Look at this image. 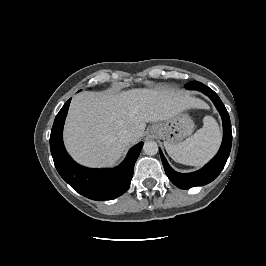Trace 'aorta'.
<instances>
[{"instance_id": "obj_1", "label": "aorta", "mask_w": 266, "mask_h": 266, "mask_svg": "<svg viewBox=\"0 0 266 266\" xmlns=\"http://www.w3.org/2000/svg\"><path fill=\"white\" fill-rule=\"evenodd\" d=\"M143 152L149 156L157 154L158 144L155 141H146L143 145Z\"/></svg>"}]
</instances>
